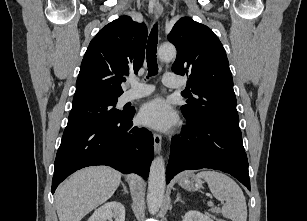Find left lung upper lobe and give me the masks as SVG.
<instances>
[{
    "label": "left lung upper lobe",
    "mask_w": 307,
    "mask_h": 221,
    "mask_svg": "<svg viewBox=\"0 0 307 221\" xmlns=\"http://www.w3.org/2000/svg\"><path fill=\"white\" fill-rule=\"evenodd\" d=\"M168 40L177 49L172 70L188 75L187 104L181 107L186 120L212 121L241 134L233 79L226 52L217 36L207 26L181 18Z\"/></svg>",
    "instance_id": "1"
}]
</instances>
